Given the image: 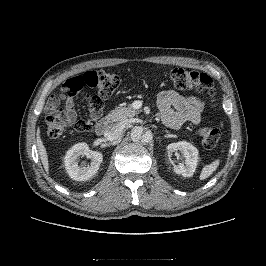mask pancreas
<instances>
[{
	"instance_id": "pancreas-1",
	"label": "pancreas",
	"mask_w": 266,
	"mask_h": 266,
	"mask_svg": "<svg viewBox=\"0 0 266 266\" xmlns=\"http://www.w3.org/2000/svg\"><path fill=\"white\" fill-rule=\"evenodd\" d=\"M138 114V111L133 109L131 105L123 108H117L111 111L105 119L108 122H118V121H126L128 118H131Z\"/></svg>"
}]
</instances>
